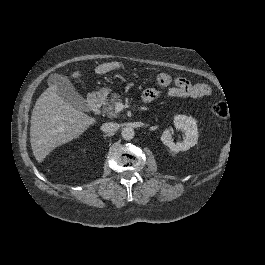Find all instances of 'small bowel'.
<instances>
[{
  "label": "small bowel",
  "instance_id": "obj_1",
  "mask_svg": "<svg viewBox=\"0 0 265 265\" xmlns=\"http://www.w3.org/2000/svg\"><path fill=\"white\" fill-rule=\"evenodd\" d=\"M212 92L211 87L205 83L192 84L188 79L180 77L175 80L174 87L168 89L165 96L171 98L188 97L198 99L209 96ZM162 94L156 89L149 88L143 92L144 102H152L159 99Z\"/></svg>",
  "mask_w": 265,
  "mask_h": 265
}]
</instances>
